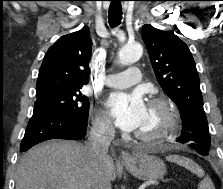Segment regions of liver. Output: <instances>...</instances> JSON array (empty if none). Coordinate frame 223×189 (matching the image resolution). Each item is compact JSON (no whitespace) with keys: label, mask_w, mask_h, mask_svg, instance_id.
Returning a JSON list of instances; mask_svg holds the SVG:
<instances>
[{"label":"liver","mask_w":223,"mask_h":189,"mask_svg":"<svg viewBox=\"0 0 223 189\" xmlns=\"http://www.w3.org/2000/svg\"><path fill=\"white\" fill-rule=\"evenodd\" d=\"M94 170L86 146L74 141L50 140L22 156L16 172V189H92ZM105 173L115 180L110 157Z\"/></svg>","instance_id":"6515ba94"}]
</instances>
